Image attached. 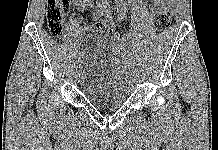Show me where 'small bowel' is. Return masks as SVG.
<instances>
[{
  "label": "small bowel",
  "instance_id": "c3829d8e",
  "mask_svg": "<svg viewBox=\"0 0 218 150\" xmlns=\"http://www.w3.org/2000/svg\"><path fill=\"white\" fill-rule=\"evenodd\" d=\"M153 5L150 9L152 13H156L159 9H161L163 6L169 7L172 3V0H152ZM75 4L78 7L84 8V9H89L92 6V0H74ZM115 11L120 14V16H123L126 11V4L125 0H115ZM104 13V12H103ZM98 12L95 14V18L98 19L100 17L97 16ZM96 28L95 25H89L86 27V30L91 32L94 31Z\"/></svg>",
  "mask_w": 218,
  "mask_h": 150
}]
</instances>
